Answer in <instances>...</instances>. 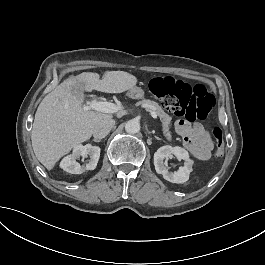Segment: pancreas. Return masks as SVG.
Masks as SVG:
<instances>
[{"instance_id":"obj_1","label":"pancreas","mask_w":265,"mask_h":265,"mask_svg":"<svg viewBox=\"0 0 265 265\" xmlns=\"http://www.w3.org/2000/svg\"><path fill=\"white\" fill-rule=\"evenodd\" d=\"M137 104H145L147 111L154 110L157 113V115L160 117L161 131L163 136L167 141H172L171 117L166 114L163 109L154 101L144 99L143 101H140Z\"/></svg>"}]
</instances>
